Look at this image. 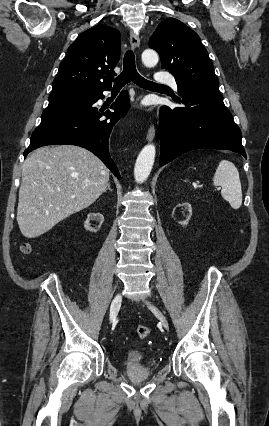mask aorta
Segmentation results:
<instances>
[{
  "label": "aorta",
  "instance_id": "obj_1",
  "mask_svg": "<svg viewBox=\"0 0 269 426\" xmlns=\"http://www.w3.org/2000/svg\"><path fill=\"white\" fill-rule=\"evenodd\" d=\"M159 57L155 50L146 49L142 53V62L147 67H154L158 63ZM155 146L148 144L140 151L135 167H134V178L136 182L143 183L147 180L152 170L154 159H155Z\"/></svg>",
  "mask_w": 269,
  "mask_h": 426
}]
</instances>
